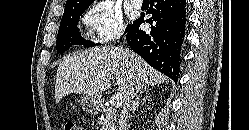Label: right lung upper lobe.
<instances>
[{
	"label": "right lung upper lobe",
	"instance_id": "right-lung-upper-lobe-1",
	"mask_svg": "<svg viewBox=\"0 0 249 130\" xmlns=\"http://www.w3.org/2000/svg\"><path fill=\"white\" fill-rule=\"evenodd\" d=\"M94 0H67L66 6L73 8L87 7L93 3Z\"/></svg>",
	"mask_w": 249,
	"mask_h": 130
}]
</instances>
